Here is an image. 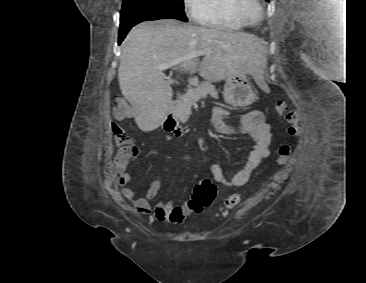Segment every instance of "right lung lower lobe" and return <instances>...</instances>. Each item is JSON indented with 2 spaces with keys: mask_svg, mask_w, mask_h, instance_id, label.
<instances>
[{
  "mask_svg": "<svg viewBox=\"0 0 366 283\" xmlns=\"http://www.w3.org/2000/svg\"><path fill=\"white\" fill-rule=\"evenodd\" d=\"M140 23V21L135 22H127L124 24H120L119 28V44L122 42V40L125 38L128 31L136 24Z\"/></svg>",
  "mask_w": 366,
  "mask_h": 283,
  "instance_id": "right-lung-lower-lobe-1",
  "label": "right lung lower lobe"
}]
</instances>
